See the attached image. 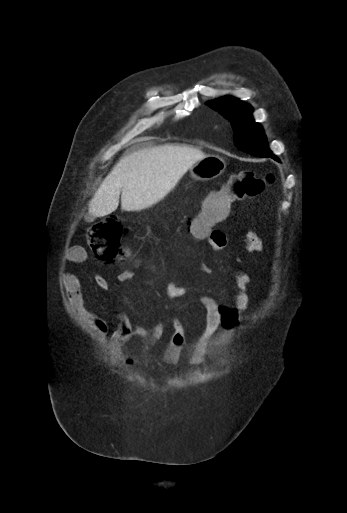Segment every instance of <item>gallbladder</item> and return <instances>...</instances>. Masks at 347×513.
I'll return each mask as SVG.
<instances>
[{
	"label": "gallbladder",
	"instance_id": "gallbladder-1",
	"mask_svg": "<svg viewBox=\"0 0 347 513\" xmlns=\"http://www.w3.org/2000/svg\"><path fill=\"white\" fill-rule=\"evenodd\" d=\"M91 219H93V217L92 216H88V220H91Z\"/></svg>",
	"mask_w": 347,
	"mask_h": 513
}]
</instances>
